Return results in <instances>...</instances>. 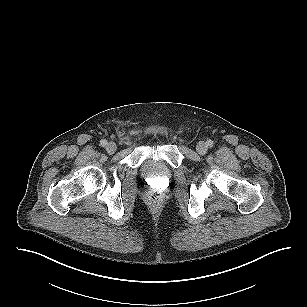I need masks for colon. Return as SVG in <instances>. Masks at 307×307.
Instances as JSON below:
<instances>
[{
    "mask_svg": "<svg viewBox=\"0 0 307 307\" xmlns=\"http://www.w3.org/2000/svg\"><path fill=\"white\" fill-rule=\"evenodd\" d=\"M148 201L152 206H158L162 201L161 194L156 190H152L149 192Z\"/></svg>",
    "mask_w": 307,
    "mask_h": 307,
    "instance_id": "5ec220e1",
    "label": "colon"
}]
</instances>
